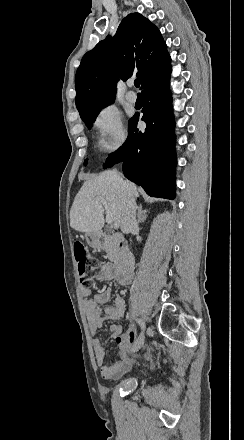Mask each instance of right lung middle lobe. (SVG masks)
I'll return each mask as SVG.
<instances>
[{
    "instance_id": "1",
    "label": "right lung middle lobe",
    "mask_w": 244,
    "mask_h": 440,
    "mask_svg": "<svg viewBox=\"0 0 244 440\" xmlns=\"http://www.w3.org/2000/svg\"><path fill=\"white\" fill-rule=\"evenodd\" d=\"M114 100H108L106 102H104L103 104H101L98 107L92 108L90 110H85V111H79L80 116L82 118V120L85 122L86 126L88 128L92 127V124L94 123L97 115L99 114L100 110L102 108H104L105 106L111 104ZM87 163V160H85V164Z\"/></svg>"
}]
</instances>
